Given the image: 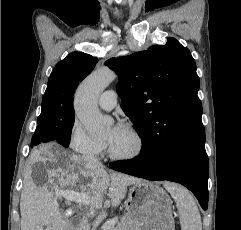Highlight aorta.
Masks as SVG:
<instances>
[{"mask_svg": "<svg viewBox=\"0 0 241 230\" xmlns=\"http://www.w3.org/2000/svg\"><path fill=\"white\" fill-rule=\"evenodd\" d=\"M116 78L117 75L113 71L101 68L90 74L77 89L74 100L75 113L92 136L104 135L112 124V119L99 111L98 98Z\"/></svg>", "mask_w": 241, "mask_h": 230, "instance_id": "aorta-1", "label": "aorta"}]
</instances>
